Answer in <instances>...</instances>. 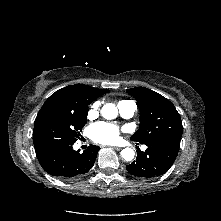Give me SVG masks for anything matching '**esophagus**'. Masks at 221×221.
Returning <instances> with one entry per match:
<instances>
[{"mask_svg":"<svg viewBox=\"0 0 221 221\" xmlns=\"http://www.w3.org/2000/svg\"><path fill=\"white\" fill-rule=\"evenodd\" d=\"M112 149L119 151V150H121L122 148H121V147H118V146H113Z\"/></svg>","mask_w":221,"mask_h":221,"instance_id":"obj_1","label":"esophagus"}]
</instances>
